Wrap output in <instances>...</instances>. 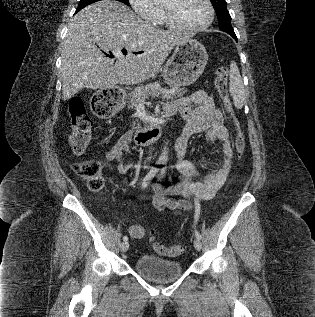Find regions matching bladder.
I'll use <instances>...</instances> for the list:
<instances>
[{
  "instance_id": "1",
  "label": "bladder",
  "mask_w": 315,
  "mask_h": 317,
  "mask_svg": "<svg viewBox=\"0 0 315 317\" xmlns=\"http://www.w3.org/2000/svg\"><path fill=\"white\" fill-rule=\"evenodd\" d=\"M134 269L143 277L158 283L168 282L181 276L182 265L150 254L140 255L134 262Z\"/></svg>"
}]
</instances>
